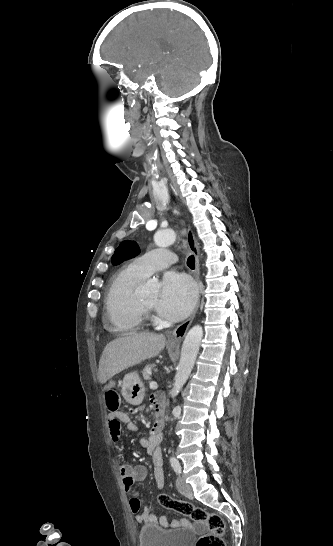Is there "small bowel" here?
Listing matches in <instances>:
<instances>
[{"mask_svg":"<svg viewBox=\"0 0 333 546\" xmlns=\"http://www.w3.org/2000/svg\"><path fill=\"white\" fill-rule=\"evenodd\" d=\"M106 392H111L117 386V381L114 378H109L106 381ZM151 403L155 410L156 416H163L164 413V400L159 394L151 396ZM108 429L113 441H117L120 436L121 424H125L130 431H137V425L130 419V417L121 411H109L107 415ZM161 438L155 437L153 433L148 438L141 437L138 439V444L146 449V451L152 455L153 458V477L157 487H163L164 485V471H163V457L162 450L159 447ZM119 473L122 478L125 490L130 495H134V483L141 481L147 476V468L143 465L132 466L129 464H122L119 467ZM130 510L135 515V520L138 523H153L161 527H178L183 525L186 521L179 520L169 522L166 516L157 518L149 507H145L141 510V503L139 499L132 497L130 500Z\"/></svg>","mask_w":333,"mask_h":546,"instance_id":"small-bowel-1","label":"small bowel"}]
</instances>
